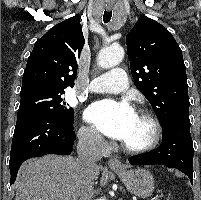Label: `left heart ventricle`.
I'll return each instance as SVG.
<instances>
[{
  "label": "left heart ventricle",
  "mask_w": 201,
  "mask_h": 200,
  "mask_svg": "<svg viewBox=\"0 0 201 200\" xmlns=\"http://www.w3.org/2000/svg\"><path fill=\"white\" fill-rule=\"evenodd\" d=\"M152 135L153 127L151 123L146 118L136 114L123 143L131 147H139L147 144Z\"/></svg>",
  "instance_id": "1"
}]
</instances>
